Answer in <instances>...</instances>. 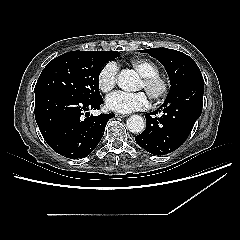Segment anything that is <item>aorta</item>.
<instances>
[{"mask_svg": "<svg viewBox=\"0 0 240 240\" xmlns=\"http://www.w3.org/2000/svg\"><path fill=\"white\" fill-rule=\"evenodd\" d=\"M136 82L137 75L131 70H123L118 75L117 84L125 91L133 90L136 86ZM126 126L130 132L134 134H140L145 130V121L139 115H132L127 119Z\"/></svg>", "mask_w": 240, "mask_h": 240, "instance_id": "762f6f07", "label": "aorta"}]
</instances>
